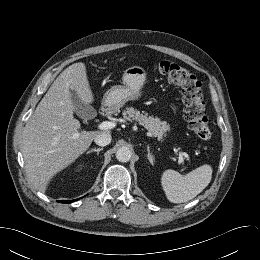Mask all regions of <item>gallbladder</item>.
I'll return each mask as SVG.
<instances>
[{
	"label": "gallbladder",
	"instance_id": "obj_1",
	"mask_svg": "<svg viewBox=\"0 0 260 260\" xmlns=\"http://www.w3.org/2000/svg\"><path fill=\"white\" fill-rule=\"evenodd\" d=\"M71 93V98L74 104V112L81 118L86 119V118H93L96 116L97 112L96 110L87 104H84L77 96L75 91H70Z\"/></svg>",
	"mask_w": 260,
	"mask_h": 260
}]
</instances>
